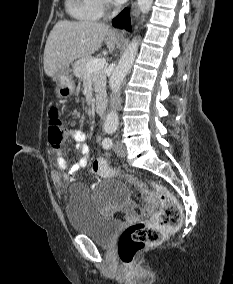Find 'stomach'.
<instances>
[{
	"instance_id": "0dacf381",
	"label": "stomach",
	"mask_w": 233,
	"mask_h": 284,
	"mask_svg": "<svg viewBox=\"0 0 233 284\" xmlns=\"http://www.w3.org/2000/svg\"><path fill=\"white\" fill-rule=\"evenodd\" d=\"M52 80L56 83L55 92L58 97L68 98L74 93L75 82L69 66L54 74Z\"/></svg>"
}]
</instances>
